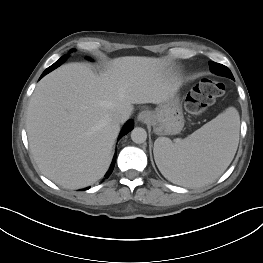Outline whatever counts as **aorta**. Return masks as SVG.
Masks as SVG:
<instances>
[{
  "mask_svg": "<svg viewBox=\"0 0 263 263\" xmlns=\"http://www.w3.org/2000/svg\"><path fill=\"white\" fill-rule=\"evenodd\" d=\"M131 139L136 144L144 143L147 139V132L141 127H136L131 131Z\"/></svg>",
  "mask_w": 263,
  "mask_h": 263,
  "instance_id": "obj_1",
  "label": "aorta"
}]
</instances>
